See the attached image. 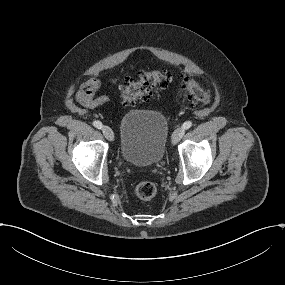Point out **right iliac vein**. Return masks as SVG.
I'll use <instances>...</instances> for the list:
<instances>
[{
    "label": "right iliac vein",
    "mask_w": 285,
    "mask_h": 285,
    "mask_svg": "<svg viewBox=\"0 0 285 285\" xmlns=\"http://www.w3.org/2000/svg\"><path fill=\"white\" fill-rule=\"evenodd\" d=\"M102 132L105 136V138L109 141H113L114 139V134H113V131L112 129L109 127V126H103L102 127Z\"/></svg>",
    "instance_id": "right-iliac-vein-1"
}]
</instances>
